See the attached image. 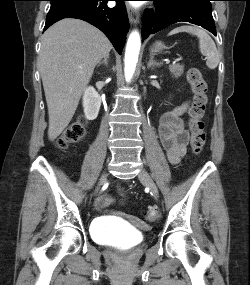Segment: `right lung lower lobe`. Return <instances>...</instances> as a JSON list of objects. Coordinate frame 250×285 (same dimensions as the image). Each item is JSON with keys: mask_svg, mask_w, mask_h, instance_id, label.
Instances as JSON below:
<instances>
[{"mask_svg": "<svg viewBox=\"0 0 250 285\" xmlns=\"http://www.w3.org/2000/svg\"><path fill=\"white\" fill-rule=\"evenodd\" d=\"M116 6L109 8L108 0H86L50 8L44 30L63 18H77L89 22L100 29L121 54L129 29L125 0H114Z\"/></svg>", "mask_w": 250, "mask_h": 285, "instance_id": "right-lung-lower-lobe-1", "label": "right lung lower lobe"}]
</instances>
